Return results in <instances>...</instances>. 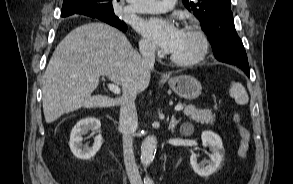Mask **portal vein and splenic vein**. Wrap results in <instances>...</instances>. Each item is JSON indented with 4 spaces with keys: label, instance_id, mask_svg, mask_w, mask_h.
<instances>
[{
    "label": "portal vein and splenic vein",
    "instance_id": "1",
    "mask_svg": "<svg viewBox=\"0 0 293 184\" xmlns=\"http://www.w3.org/2000/svg\"><path fill=\"white\" fill-rule=\"evenodd\" d=\"M108 89L117 95H119L121 93V89L118 87V85H115V84H108ZM174 109H175V111H181V110H183V106L177 105V106H175Z\"/></svg>",
    "mask_w": 293,
    "mask_h": 184
}]
</instances>
